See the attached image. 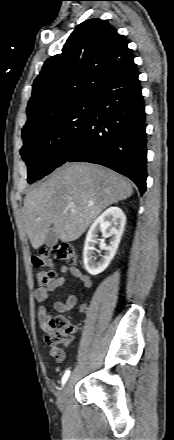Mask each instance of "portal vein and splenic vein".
Returning a JSON list of instances; mask_svg holds the SVG:
<instances>
[{"mask_svg": "<svg viewBox=\"0 0 174 440\" xmlns=\"http://www.w3.org/2000/svg\"><path fill=\"white\" fill-rule=\"evenodd\" d=\"M70 206H71V207H73V206H74V204H73V203H71V204H70Z\"/></svg>", "mask_w": 174, "mask_h": 440, "instance_id": "18ae733b", "label": "portal vein and splenic vein"}]
</instances>
